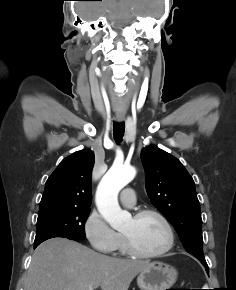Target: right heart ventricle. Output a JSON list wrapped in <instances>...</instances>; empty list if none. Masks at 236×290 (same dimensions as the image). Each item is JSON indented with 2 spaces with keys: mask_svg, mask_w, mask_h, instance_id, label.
Returning a JSON list of instances; mask_svg holds the SVG:
<instances>
[{
  "mask_svg": "<svg viewBox=\"0 0 236 290\" xmlns=\"http://www.w3.org/2000/svg\"><path fill=\"white\" fill-rule=\"evenodd\" d=\"M118 249L121 251V252H125L126 249H125V246H124V242H123V239H121L120 243H119V246H118Z\"/></svg>",
  "mask_w": 236,
  "mask_h": 290,
  "instance_id": "1",
  "label": "right heart ventricle"
}]
</instances>
